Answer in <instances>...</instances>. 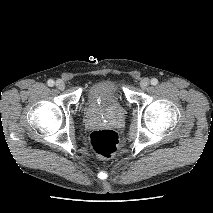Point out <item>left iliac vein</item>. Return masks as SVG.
<instances>
[{"label":"left iliac vein","mask_w":213,"mask_h":213,"mask_svg":"<svg viewBox=\"0 0 213 213\" xmlns=\"http://www.w3.org/2000/svg\"><path fill=\"white\" fill-rule=\"evenodd\" d=\"M150 84V81L148 78H143L141 81H140V87L142 89H145L148 87V85Z\"/></svg>","instance_id":"4c4485c4"}]
</instances>
